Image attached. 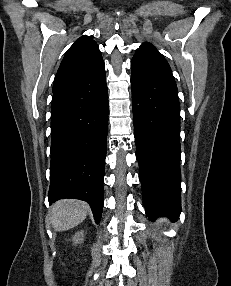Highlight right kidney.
<instances>
[{"label": "right kidney", "instance_id": "right-kidney-1", "mask_svg": "<svg viewBox=\"0 0 231 286\" xmlns=\"http://www.w3.org/2000/svg\"><path fill=\"white\" fill-rule=\"evenodd\" d=\"M84 240V231H78L72 238L75 245L82 243Z\"/></svg>", "mask_w": 231, "mask_h": 286}]
</instances>
